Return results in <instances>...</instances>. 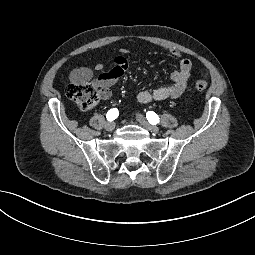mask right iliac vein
<instances>
[{"label": "right iliac vein", "instance_id": "right-iliac-vein-1", "mask_svg": "<svg viewBox=\"0 0 255 255\" xmlns=\"http://www.w3.org/2000/svg\"><path fill=\"white\" fill-rule=\"evenodd\" d=\"M115 128V123L114 122H107L105 125V129L107 131H113Z\"/></svg>", "mask_w": 255, "mask_h": 255}]
</instances>
